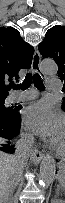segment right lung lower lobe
I'll list each match as a JSON object with an SVG mask.
<instances>
[{
  "instance_id": "1",
  "label": "right lung lower lobe",
  "mask_w": 65,
  "mask_h": 203,
  "mask_svg": "<svg viewBox=\"0 0 65 203\" xmlns=\"http://www.w3.org/2000/svg\"><path fill=\"white\" fill-rule=\"evenodd\" d=\"M19 107H15L13 114H0V137L12 139L17 136L20 131L21 116L18 112ZM0 151L13 153L15 149L10 143L0 144Z\"/></svg>"
}]
</instances>
